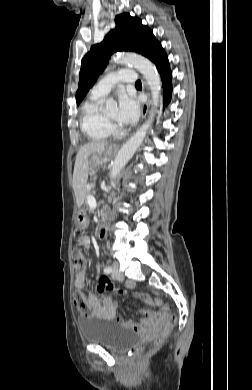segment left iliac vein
Wrapping results in <instances>:
<instances>
[{"mask_svg": "<svg viewBox=\"0 0 252 390\" xmlns=\"http://www.w3.org/2000/svg\"><path fill=\"white\" fill-rule=\"evenodd\" d=\"M112 277L116 280L122 281L124 279L123 274L119 270L118 266L114 265L112 270Z\"/></svg>", "mask_w": 252, "mask_h": 390, "instance_id": "obj_1", "label": "left iliac vein"}]
</instances>
